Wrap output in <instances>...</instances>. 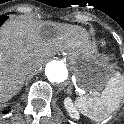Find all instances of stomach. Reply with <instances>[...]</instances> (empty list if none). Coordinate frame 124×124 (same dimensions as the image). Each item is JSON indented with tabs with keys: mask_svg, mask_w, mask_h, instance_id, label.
I'll return each mask as SVG.
<instances>
[{
	"mask_svg": "<svg viewBox=\"0 0 124 124\" xmlns=\"http://www.w3.org/2000/svg\"><path fill=\"white\" fill-rule=\"evenodd\" d=\"M112 73V67L106 64L89 66L79 72L78 82L84 93L97 94L104 84L115 81L116 76H112Z\"/></svg>",
	"mask_w": 124,
	"mask_h": 124,
	"instance_id": "obj_1",
	"label": "stomach"
}]
</instances>
